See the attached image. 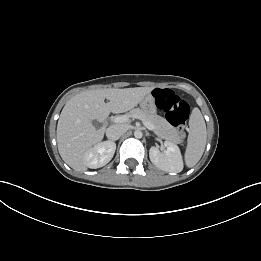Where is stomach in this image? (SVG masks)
Returning <instances> with one entry per match:
<instances>
[{"mask_svg":"<svg viewBox=\"0 0 261 261\" xmlns=\"http://www.w3.org/2000/svg\"><path fill=\"white\" fill-rule=\"evenodd\" d=\"M140 107L145 112L155 113L156 105L154 97L151 94L145 96V98L140 102Z\"/></svg>","mask_w":261,"mask_h":261,"instance_id":"0dacf381","label":"stomach"}]
</instances>
